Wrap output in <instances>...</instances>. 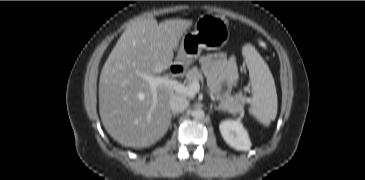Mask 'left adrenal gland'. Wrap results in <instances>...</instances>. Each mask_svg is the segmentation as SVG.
I'll return each instance as SVG.
<instances>
[{"label":"left adrenal gland","instance_id":"1","mask_svg":"<svg viewBox=\"0 0 365 180\" xmlns=\"http://www.w3.org/2000/svg\"><path fill=\"white\" fill-rule=\"evenodd\" d=\"M214 109H215V110H219V111H221V110H222L220 107H217V106H214Z\"/></svg>","mask_w":365,"mask_h":180}]
</instances>
